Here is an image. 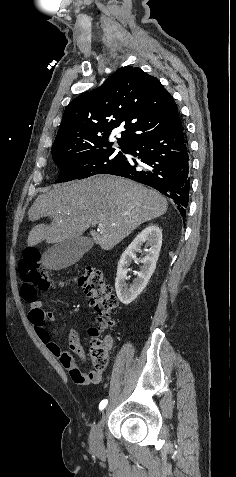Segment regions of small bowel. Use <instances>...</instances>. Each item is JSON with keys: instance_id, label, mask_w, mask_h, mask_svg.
I'll use <instances>...</instances> for the list:
<instances>
[{"instance_id": "obj_1", "label": "small bowel", "mask_w": 236, "mask_h": 477, "mask_svg": "<svg viewBox=\"0 0 236 477\" xmlns=\"http://www.w3.org/2000/svg\"><path fill=\"white\" fill-rule=\"evenodd\" d=\"M34 331L40 340L47 346L49 351L57 357L62 366L69 372L72 380L76 384H98L102 381V374L97 371H90L88 373L82 372L76 363L74 355L69 350L63 349L52 336L49 328V323L56 318L55 313L46 311L44 305L40 301H34L30 304L28 315ZM80 330L75 328L70 334L71 349L82 360L85 361V351L79 343ZM105 346L107 350L113 347V340L110 337L105 339Z\"/></svg>"}]
</instances>
